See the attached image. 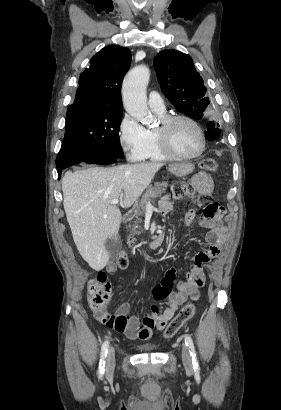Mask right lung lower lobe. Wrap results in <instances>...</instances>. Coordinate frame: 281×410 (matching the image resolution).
Here are the masks:
<instances>
[{"label": "right lung lower lobe", "instance_id": "right-lung-lower-lobe-1", "mask_svg": "<svg viewBox=\"0 0 281 410\" xmlns=\"http://www.w3.org/2000/svg\"><path fill=\"white\" fill-rule=\"evenodd\" d=\"M117 157H83V158H74L71 159L64 164H62L60 167H58V179L61 177V172L63 169L70 167L72 165H75L80 162H86L90 164H110L114 163L116 161Z\"/></svg>", "mask_w": 281, "mask_h": 410}]
</instances>
